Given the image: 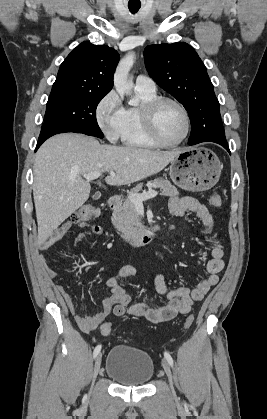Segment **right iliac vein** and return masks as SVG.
Instances as JSON below:
<instances>
[{
    "label": "right iliac vein",
    "instance_id": "obj_1",
    "mask_svg": "<svg viewBox=\"0 0 267 419\" xmlns=\"http://www.w3.org/2000/svg\"><path fill=\"white\" fill-rule=\"evenodd\" d=\"M101 366V354H99L96 358L95 364H94V370H93V379L97 377L99 370Z\"/></svg>",
    "mask_w": 267,
    "mask_h": 419
}]
</instances>
